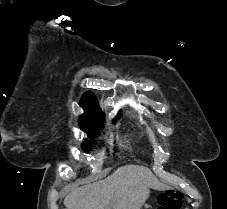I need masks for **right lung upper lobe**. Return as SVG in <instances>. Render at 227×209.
Listing matches in <instances>:
<instances>
[{
	"label": "right lung upper lobe",
	"instance_id": "1",
	"mask_svg": "<svg viewBox=\"0 0 227 209\" xmlns=\"http://www.w3.org/2000/svg\"><path fill=\"white\" fill-rule=\"evenodd\" d=\"M80 105L84 108L85 112L80 116V119L98 117L103 119L102 112L99 108L95 95L91 92H87L83 95L80 101ZM120 114L117 116V118Z\"/></svg>",
	"mask_w": 227,
	"mask_h": 209
}]
</instances>
